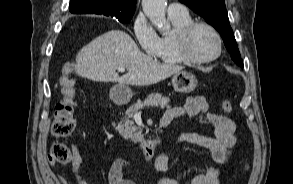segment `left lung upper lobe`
<instances>
[{
    "instance_id": "5c2ea615",
    "label": "left lung upper lobe",
    "mask_w": 293,
    "mask_h": 184,
    "mask_svg": "<svg viewBox=\"0 0 293 184\" xmlns=\"http://www.w3.org/2000/svg\"><path fill=\"white\" fill-rule=\"evenodd\" d=\"M211 24L223 38L224 44L234 62L243 67V61L229 24L224 0H179Z\"/></svg>"
}]
</instances>
